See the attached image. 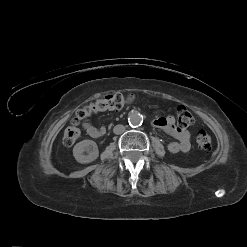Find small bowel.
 Here are the masks:
<instances>
[{
	"instance_id": "c3829d8e",
	"label": "small bowel",
	"mask_w": 247,
	"mask_h": 247,
	"mask_svg": "<svg viewBox=\"0 0 247 247\" xmlns=\"http://www.w3.org/2000/svg\"><path fill=\"white\" fill-rule=\"evenodd\" d=\"M153 125L174 136L177 141L167 144V149L171 153L188 152L191 148V135L188 130L176 123L174 116L158 117L153 121ZM83 128L92 138L103 136L107 129L105 126L95 127L89 121L83 123Z\"/></svg>"
}]
</instances>
